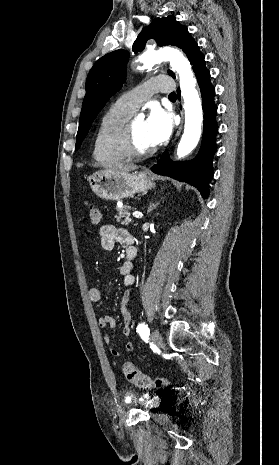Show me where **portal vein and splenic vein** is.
I'll use <instances>...</instances> for the list:
<instances>
[{"instance_id": "18ae733b", "label": "portal vein and splenic vein", "mask_w": 279, "mask_h": 465, "mask_svg": "<svg viewBox=\"0 0 279 465\" xmlns=\"http://www.w3.org/2000/svg\"><path fill=\"white\" fill-rule=\"evenodd\" d=\"M143 214L141 212L135 211L133 212V217L134 218H142Z\"/></svg>"}]
</instances>
